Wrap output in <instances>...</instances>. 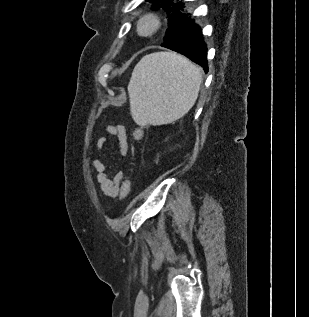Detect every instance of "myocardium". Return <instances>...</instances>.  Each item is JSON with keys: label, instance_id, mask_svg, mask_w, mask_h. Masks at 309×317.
<instances>
[{"label": "myocardium", "instance_id": "myocardium-1", "mask_svg": "<svg viewBox=\"0 0 309 317\" xmlns=\"http://www.w3.org/2000/svg\"><path fill=\"white\" fill-rule=\"evenodd\" d=\"M160 28V21L157 16L149 14L144 16L138 23V31L142 36L150 37Z\"/></svg>", "mask_w": 309, "mask_h": 317}]
</instances>
